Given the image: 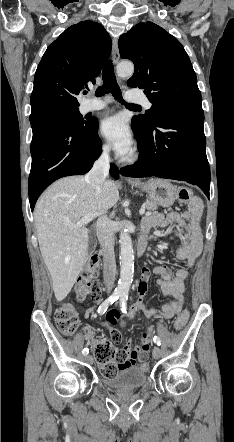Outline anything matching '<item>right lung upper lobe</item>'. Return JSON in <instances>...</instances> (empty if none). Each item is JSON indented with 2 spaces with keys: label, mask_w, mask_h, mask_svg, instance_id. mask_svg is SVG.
<instances>
[{
  "label": "right lung upper lobe",
  "mask_w": 234,
  "mask_h": 442,
  "mask_svg": "<svg viewBox=\"0 0 234 442\" xmlns=\"http://www.w3.org/2000/svg\"><path fill=\"white\" fill-rule=\"evenodd\" d=\"M104 27L83 21L66 29L45 51L34 77L31 116L50 109L78 107L76 96L95 83L111 53Z\"/></svg>",
  "instance_id": "right-lung-upper-lobe-1"
}]
</instances>
